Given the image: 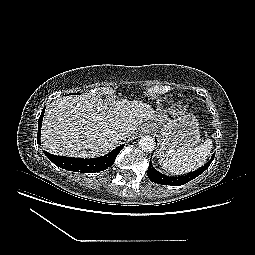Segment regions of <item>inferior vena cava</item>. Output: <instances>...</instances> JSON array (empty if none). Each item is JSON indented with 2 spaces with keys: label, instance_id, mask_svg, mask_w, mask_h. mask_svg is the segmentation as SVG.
<instances>
[{
  "label": "inferior vena cava",
  "instance_id": "602c4592",
  "mask_svg": "<svg viewBox=\"0 0 255 255\" xmlns=\"http://www.w3.org/2000/svg\"><path fill=\"white\" fill-rule=\"evenodd\" d=\"M116 138L120 141L126 140L127 138V133L126 132H119L116 133Z\"/></svg>",
  "mask_w": 255,
  "mask_h": 255
}]
</instances>
